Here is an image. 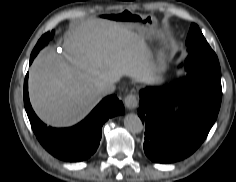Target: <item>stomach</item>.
<instances>
[{
    "label": "stomach",
    "instance_id": "obj_1",
    "mask_svg": "<svg viewBox=\"0 0 236 182\" xmlns=\"http://www.w3.org/2000/svg\"><path fill=\"white\" fill-rule=\"evenodd\" d=\"M99 18L104 23H120L146 38L157 39L159 41V49L154 78L159 80L165 74L168 69V49L163 42L158 22L154 16L138 14L129 10L123 12L104 10L100 13Z\"/></svg>",
    "mask_w": 236,
    "mask_h": 182
}]
</instances>
